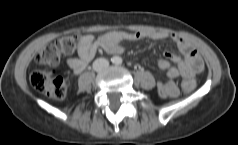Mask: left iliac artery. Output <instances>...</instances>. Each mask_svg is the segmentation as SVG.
Listing matches in <instances>:
<instances>
[{
	"instance_id": "1",
	"label": "left iliac artery",
	"mask_w": 238,
	"mask_h": 145,
	"mask_svg": "<svg viewBox=\"0 0 238 145\" xmlns=\"http://www.w3.org/2000/svg\"><path fill=\"white\" fill-rule=\"evenodd\" d=\"M117 64H118V65H121V64H122V59H121V58H118Z\"/></svg>"
}]
</instances>
